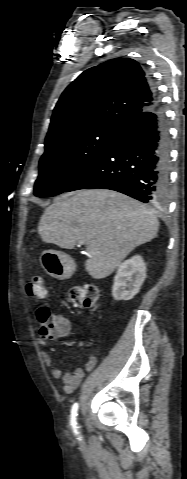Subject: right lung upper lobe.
Masks as SVG:
<instances>
[{"mask_svg": "<svg viewBox=\"0 0 187 479\" xmlns=\"http://www.w3.org/2000/svg\"><path fill=\"white\" fill-rule=\"evenodd\" d=\"M157 101L138 62L130 58L109 60L84 71L65 89L54 108L45 143L82 128L122 129Z\"/></svg>", "mask_w": 187, "mask_h": 479, "instance_id": "1", "label": "right lung upper lobe"}]
</instances>
